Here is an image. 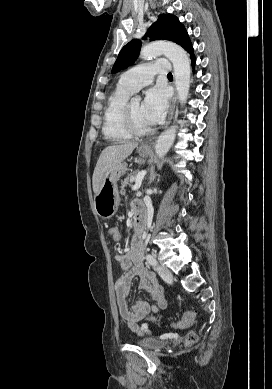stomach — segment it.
Here are the masks:
<instances>
[{
    "mask_svg": "<svg viewBox=\"0 0 272 389\" xmlns=\"http://www.w3.org/2000/svg\"><path fill=\"white\" fill-rule=\"evenodd\" d=\"M141 157H148L150 149L138 148ZM127 164L118 163L107 171L98 193L94 196V207L98 216L103 219L111 218L118 210L120 197L117 181L126 172Z\"/></svg>",
    "mask_w": 272,
    "mask_h": 389,
    "instance_id": "0dacf381",
    "label": "stomach"
}]
</instances>
